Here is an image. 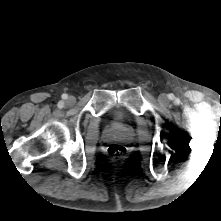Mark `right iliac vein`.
I'll return each mask as SVG.
<instances>
[{
  "label": "right iliac vein",
  "mask_w": 221,
  "mask_h": 221,
  "mask_svg": "<svg viewBox=\"0 0 221 221\" xmlns=\"http://www.w3.org/2000/svg\"><path fill=\"white\" fill-rule=\"evenodd\" d=\"M69 105H72V104H74L75 102H76V99H75V97H73V96H69L68 98H67V101H66Z\"/></svg>",
  "instance_id": "obj_1"
}]
</instances>
